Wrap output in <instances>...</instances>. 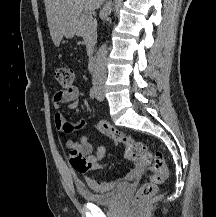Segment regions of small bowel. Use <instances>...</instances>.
<instances>
[{
    "label": "small bowel",
    "mask_w": 216,
    "mask_h": 217,
    "mask_svg": "<svg viewBox=\"0 0 216 217\" xmlns=\"http://www.w3.org/2000/svg\"><path fill=\"white\" fill-rule=\"evenodd\" d=\"M52 101L55 107V127L58 131L63 132L67 128V120L61 112V107L66 105L69 109H75L79 104V89L76 86H72L68 89L56 91L53 95ZM67 147L87 155L90 157L92 162L97 165H100L106 155V149L103 145H99L96 152L93 154L92 139L89 136H82L78 141L69 140L67 141ZM142 170L143 168L140 165L135 164L130 172L126 174L125 179H134ZM118 182V179H113L108 182H100L95 178L87 177L85 182L80 185L93 191L104 192L114 188Z\"/></svg>",
    "instance_id": "1"
}]
</instances>
